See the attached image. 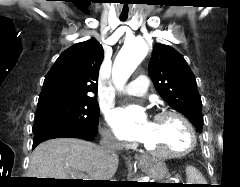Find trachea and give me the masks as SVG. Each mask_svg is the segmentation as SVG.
Here are the masks:
<instances>
[{"mask_svg": "<svg viewBox=\"0 0 240 187\" xmlns=\"http://www.w3.org/2000/svg\"><path fill=\"white\" fill-rule=\"evenodd\" d=\"M121 20H126V18H125V17H122Z\"/></svg>", "mask_w": 240, "mask_h": 187, "instance_id": "obj_1", "label": "trachea"}]
</instances>
